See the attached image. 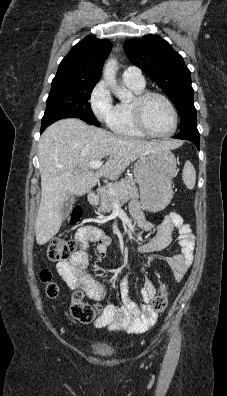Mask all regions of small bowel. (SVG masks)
Returning <instances> with one entry per match:
<instances>
[{"instance_id":"small-bowel-1","label":"small bowel","mask_w":227,"mask_h":396,"mask_svg":"<svg viewBox=\"0 0 227 396\" xmlns=\"http://www.w3.org/2000/svg\"><path fill=\"white\" fill-rule=\"evenodd\" d=\"M130 213L135 223L145 231L155 229V234L150 240L138 247L140 252L160 250L168 247L172 242L173 230L176 229L178 236L179 251L169 257L167 263L175 280H181L194 258L195 237L190 226L184 223L183 218L175 213H169L161 223L155 225L148 221L137 201L130 204ZM76 240L80 244L69 260L60 261L57 271L67 286L76 290L83 286L86 295L90 299L100 300L105 297L108 285L98 275L88 268V257L85 251L89 242L96 243V250L100 257L107 253L110 239L103 236L101 231L93 226L80 227L76 232ZM141 303L137 304L130 299L128 275L124 276L120 283V295L122 305H107L94 322L96 328L107 327L111 331L125 329L129 333L139 334L152 327L158 317L151 306V301L156 295V289L150 279H146L139 290Z\"/></svg>"}]
</instances>
